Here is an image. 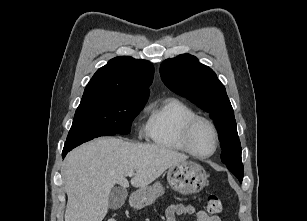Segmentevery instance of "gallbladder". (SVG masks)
<instances>
[{
	"label": "gallbladder",
	"instance_id": "bac80fb5",
	"mask_svg": "<svg viewBox=\"0 0 307 221\" xmlns=\"http://www.w3.org/2000/svg\"><path fill=\"white\" fill-rule=\"evenodd\" d=\"M128 192L123 187H116L109 194V206L113 210L121 208L127 198Z\"/></svg>",
	"mask_w": 307,
	"mask_h": 221
}]
</instances>
